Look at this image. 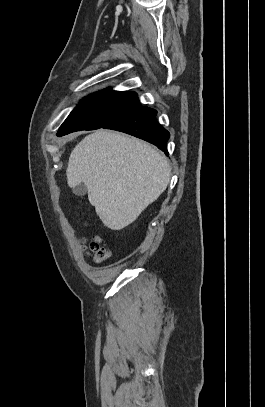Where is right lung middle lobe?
Here are the masks:
<instances>
[{
  "instance_id": "right-lung-middle-lobe-1",
  "label": "right lung middle lobe",
  "mask_w": 265,
  "mask_h": 407,
  "mask_svg": "<svg viewBox=\"0 0 265 407\" xmlns=\"http://www.w3.org/2000/svg\"><path fill=\"white\" fill-rule=\"evenodd\" d=\"M141 106L135 92L105 89L86 97L58 130L62 136L74 131L103 128Z\"/></svg>"
}]
</instances>
